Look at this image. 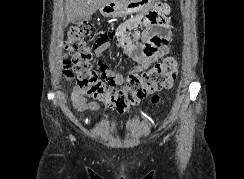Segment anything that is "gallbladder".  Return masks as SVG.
<instances>
[{
	"label": "gallbladder",
	"instance_id": "obj_1",
	"mask_svg": "<svg viewBox=\"0 0 244 179\" xmlns=\"http://www.w3.org/2000/svg\"><path fill=\"white\" fill-rule=\"evenodd\" d=\"M88 18H90V16H87V20ZM83 20V18H82ZM82 20H80V18H74V20H72V24H79V22H82Z\"/></svg>",
	"mask_w": 244,
	"mask_h": 179
}]
</instances>
